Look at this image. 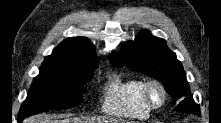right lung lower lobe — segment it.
<instances>
[{"label": "right lung lower lobe", "instance_id": "1", "mask_svg": "<svg viewBox=\"0 0 221 123\" xmlns=\"http://www.w3.org/2000/svg\"><path fill=\"white\" fill-rule=\"evenodd\" d=\"M25 117H26V115H21V114H19V115H18V120H19V121H22Z\"/></svg>", "mask_w": 221, "mask_h": 123}]
</instances>
